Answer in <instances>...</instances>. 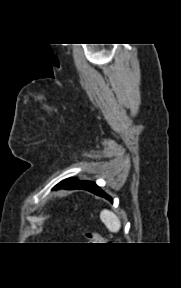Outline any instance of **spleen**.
Masks as SVG:
<instances>
[{"label": "spleen", "instance_id": "3e777b00", "mask_svg": "<svg viewBox=\"0 0 181 288\" xmlns=\"http://www.w3.org/2000/svg\"><path fill=\"white\" fill-rule=\"evenodd\" d=\"M100 219L111 232H118L121 228L119 217L107 209H103L100 213Z\"/></svg>", "mask_w": 181, "mask_h": 288}]
</instances>
